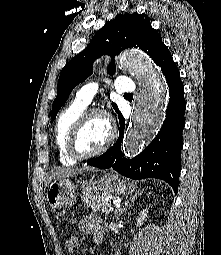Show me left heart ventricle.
<instances>
[{"label": "left heart ventricle", "instance_id": "obj_1", "mask_svg": "<svg viewBox=\"0 0 221 255\" xmlns=\"http://www.w3.org/2000/svg\"><path fill=\"white\" fill-rule=\"evenodd\" d=\"M108 136V126L101 117H91L82 128L78 149L82 153H90L99 149Z\"/></svg>", "mask_w": 221, "mask_h": 255}]
</instances>
